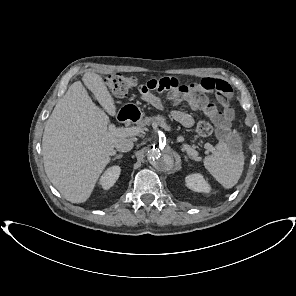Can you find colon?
<instances>
[{
  "mask_svg": "<svg viewBox=\"0 0 296 296\" xmlns=\"http://www.w3.org/2000/svg\"><path fill=\"white\" fill-rule=\"evenodd\" d=\"M105 83L112 94L118 97H123L137 85L138 81L134 76L113 74L105 80ZM221 113L222 112L213 105H209L205 111V115L212 121L213 119L221 118ZM197 132L200 136H209L213 132V126L209 121H200L197 124Z\"/></svg>",
  "mask_w": 296,
  "mask_h": 296,
  "instance_id": "1",
  "label": "colon"
}]
</instances>
